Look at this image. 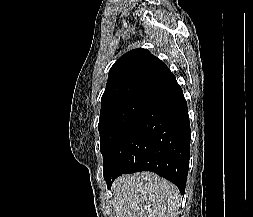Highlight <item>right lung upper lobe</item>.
Instances as JSON below:
<instances>
[{"instance_id": "right-lung-upper-lobe-1", "label": "right lung upper lobe", "mask_w": 253, "mask_h": 217, "mask_svg": "<svg viewBox=\"0 0 253 217\" xmlns=\"http://www.w3.org/2000/svg\"><path fill=\"white\" fill-rule=\"evenodd\" d=\"M175 82V76L165 63L147 49L131 50L111 67L101 110L129 99L152 101Z\"/></svg>"}]
</instances>
